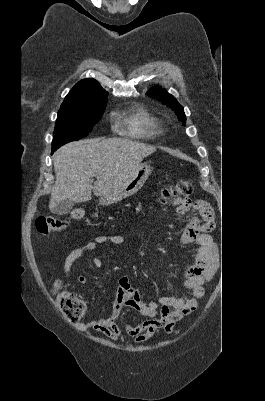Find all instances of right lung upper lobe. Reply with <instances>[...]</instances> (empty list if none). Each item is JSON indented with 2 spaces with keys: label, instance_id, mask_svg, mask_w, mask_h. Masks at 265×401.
Masks as SVG:
<instances>
[{
  "label": "right lung upper lobe",
  "instance_id": "obj_1",
  "mask_svg": "<svg viewBox=\"0 0 265 401\" xmlns=\"http://www.w3.org/2000/svg\"><path fill=\"white\" fill-rule=\"evenodd\" d=\"M108 93L92 78L79 81L67 94L61 106L68 104L106 100Z\"/></svg>",
  "mask_w": 265,
  "mask_h": 401
}]
</instances>
